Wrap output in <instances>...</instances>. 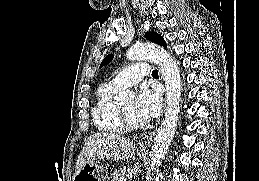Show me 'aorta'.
<instances>
[{
	"instance_id": "762f6f07",
	"label": "aorta",
	"mask_w": 259,
	"mask_h": 181,
	"mask_svg": "<svg viewBox=\"0 0 259 181\" xmlns=\"http://www.w3.org/2000/svg\"><path fill=\"white\" fill-rule=\"evenodd\" d=\"M129 60L151 59L161 68L166 85V112L152 146L151 170L155 171L164 158L175 134L181 100L180 71L171 55L162 47L151 43H136L126 53ZM133 92H121L116 98L118 104L132 101Z\"/></svg>"
}]
</instances>
